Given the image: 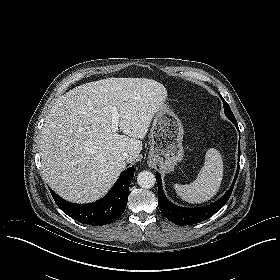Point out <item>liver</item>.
I'll return each instance as SVG.
<instances>
[{"label":"liver","instance_id":"liver-1","mask_svg":"<svg viewBox=\"0 0 280 280\" xmlns=\"http://www.w3.org/2000/svg\"><path fill=\"white\" fill-rule=\"evenodd\" d=\"M163 84L146 78H107L85 83L60 96L40 136L42 173L65 200L94 202L108 193L126 162L142 150L154 115L165 104ZM119 114L113 132L111 108ZM131 159L124 161L123 153Z\"/></svg>","mask_w":280,"mask_h":280}]
</instances>
